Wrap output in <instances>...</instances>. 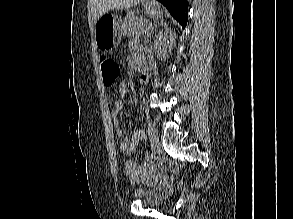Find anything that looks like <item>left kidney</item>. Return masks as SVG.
Wrapping results in <instances>:
<instances>
[{
	"label": "left kidney",
	"mask_w": 293,
	"mask_h": 219,
	"mask_svg": "<svg viewBox=\"0 0 293 219\" xmlns=\"http://www.w3.org/2000/svg\"><path fill=\"white\" fill-rule=\"evenodd\" d=\"M176 33L171 28L161 30L154 41L155 55L160 60H166L173 49Z\"/></svg>",
	"instance_id": "left-kidney-1"
}]
</instances>
